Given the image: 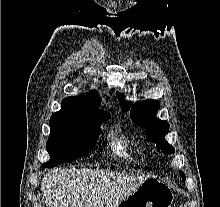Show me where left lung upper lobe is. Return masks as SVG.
<instances>
[{"instance_id":"5c2ea615","label":"left lung upper lobe","mask_w":220,"mask_h":207,"mask_svg":"<svg viewBox=\"0 0 220 207\" xmlns=\"http://www.w3.org/2000/svg\"><path fill=\"white\" fill-rule=\"evenodd\" d=\"M120 106L124 111L130 109L132 120L139 126L146 129L148 139L156 144V147L164 154H173L175 149L167 141L164 136L169 131V123L156 117L160 104L156 100L139 101L132 105L126 102L122 93H117ZM182 178H184L182 176Z\"/></svg>"}]
</instances>
